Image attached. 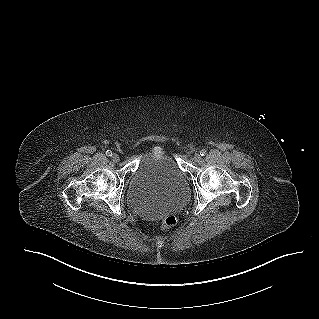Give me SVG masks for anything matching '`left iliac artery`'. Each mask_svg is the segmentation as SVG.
Masks as SVG:
<instances>
[{
	"label": "left iliac artery",
	"mask_w": 319,
	"mask_h": 319,
	"mask_svg": "<svg viewBox=\"0 0 319 319\" xmlns=\"http://www.w3.org/2000/svg\"><path fill=\"white\" fill-rule=\"evenodd\" d=\"M206 153H207V151H206L205 149H202V150L200 151V155H201V156L206 155Z\"/></svg>",
	"instance_id": "obj_1"
}]
</instances>
